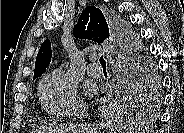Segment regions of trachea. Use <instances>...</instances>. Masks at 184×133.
Returning a JSON list of instances; mask_svg holds the SVG:
<instances>
[{"label":"trachea","instance_id":"1","mask_svg":"<svg viewBox=\"0 0 184 133\" xmlns=\"http://www.w3.org/2000/svg\"><path fill=\"white\" fill-rule=\"evenodd\" d=\"M99 61H100L101 66H102L103 68H106V61H105V59L103 58V56H101V57L99 58Z\"/></svg>","mask_w":184,"mask_h":133}]
</instances>
